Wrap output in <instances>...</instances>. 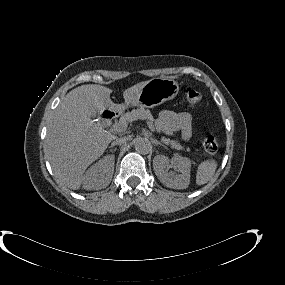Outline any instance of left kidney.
Wrapping results in <instances>:
<instances>
[{
	"label": "left kidney",
	"instance_id": "left-kidney-1",
	"mask_svg": "<svg viewBox=\"0 0 285 285\" xmlns=\"http://www.w3.org/2000/svg\"><path fill=\"white\" fill-rule=\"evenodd\" d=\"M168 166H172L180 174L173 177L165 171V168ZM153 168L156 176L165 186L173 189H186L188 187L191 169L190 159L182 156H174L170 160L164 155H158L153 160Z\"/></svg>",
	"mask_w": 285,
	"mask_h": 285
}]
</instances>
